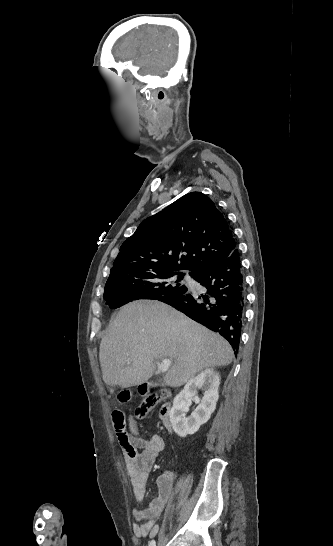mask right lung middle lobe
I'll return each mask as SVG.
<instances>
[{
  "mask_svg": "<svg viewBox=\"0 0 333 546\" xmlns=\"http://www.w3.org/2000/svg\"><path fill=\"white\" fill-rule=\"evenodd\" d=\"M177 275L172 283L167 279ZM184 274L171 271H149L124 267L110 271L103 298L110 308L115 309L137 299H155L163 296L183 295L187 287L180 281ZM194 278V276H192Z\"/></svg>",
  "mask_w": 333,
  "mask_h": 546,
  "instance_id": "dd1d6c3e",
  "label": "right lung middle lobe"
}]
</instances>
